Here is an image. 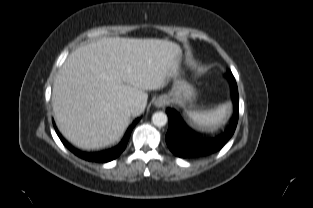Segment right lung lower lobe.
Masks as SVG:
<instances>
[{
	"instance_id": "right-lung-lower-lobe-1",
	"label": "right lung lower lobe",
	"mask_w": 313,
	"mask_h": 208,
	"mask_svg": "<svg viewBox=\"0 0 313 208\" xmlns=\"http://www.w3.org/2000/svg\"><path fill=\"white\" fill-rule=\"evenodd\" d=\"M139 119H137L132 126L130 127V129L128 130L125 138L123 139V141L119 144V146H116L110 150L107 151H103V152H98V153H84V152H80L79 150H76L75 148H73L71 145H69L62 137L61 135L58 133V136L60 137V139L62 140V142L64 143V145L70 149L74 154H76L77 156H79L82 159L88 160V161H95V162H108L111 160H114L115 158H117L122 151L126 148L127 142L129 140L130 137V133L133 129V127L135 126V124L137 123Z\"/></svg>"
}]
</instances>
